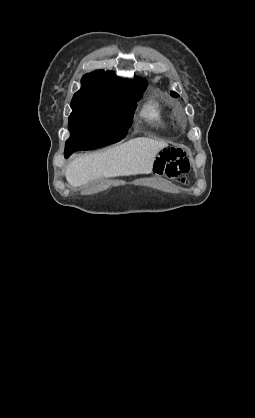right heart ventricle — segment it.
I'll return each instance as SVG.
<instances>
[{"label":"right heart ventricle","mask_w":255,"mask_h":418,"mask_svg":"<svg viewBox=\"0 0 255 418\" xmlns=\"http://www.w3.org/2000/svg\"><path fill=\"white\" fill-rule=\"evenodd\" d=\"M140 116L146 123L157 127H165L170 121L162 105L154 99H149L143 105Z\"/></svg>","instance_id":"e07e8e85"}]
</instances>
